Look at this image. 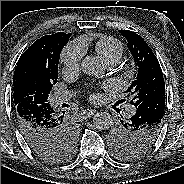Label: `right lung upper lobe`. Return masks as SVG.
Returning a JSON list of instances; mask_svg holds the SVG:
<instances>
[{"instance_id": "right-lung-upper-lobe-1", "label": "right lung upper lobe", "mask_w": 184, "mask_h": 184, "mask_svg": "<svg viewBox=\"0 0 184 184\" xmlns=\"http://www.w3.org/2000/svg\"><path fill=\"white\" fill-rule=\"evenodd\" d=\"M71 33L59 32L46 35L36 40L19 58L13 77V87L24 69L32 64H42L50 69L52 56L56 46L63 47L67 44Z\"/></svg>"}]
</instances>
